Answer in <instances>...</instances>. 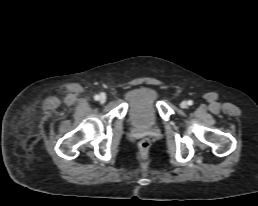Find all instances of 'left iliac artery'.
<instances>
[{"label":"left iliac artery","mask_w":258,"mask_h":206,"mask_svg":"<svg viewBox=\"0 0 258 206\" xmlns=\"http://www.w3.org/2000/svg\"><path fill=\"white\" fill-rule=\"evenodd\" d=\"M193 104V101L192 100H189L188 101V105H192Z\"/></svg>","instance_id":"44dca946"}]
</instances>
